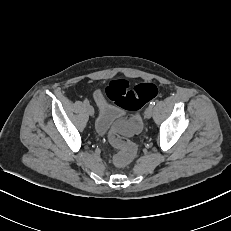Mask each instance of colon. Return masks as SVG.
<instances>
[{"mask_svg": "<svg viewBox=\"0 0 231 231\" xmlns=\"http://www.w3.org/2000/svg\"><path fill=\"white\" fill-rule=\"evenodd\" d=\"M106 94L118 107L136 112L159 95V88L154 83L142 82L131 86L125 79H114L108 84ZM131 123L132 128L136 129L139 124L138 118H133ZM110 141L117 149L113 157L116 165L124 166L132 161L136 148L130 140L115 130L110 136Z\"/></svg>", "mask_w": 231, "mask_h": 231, "instance_id": "colon-1", "label": "colon"}]
</instances>
